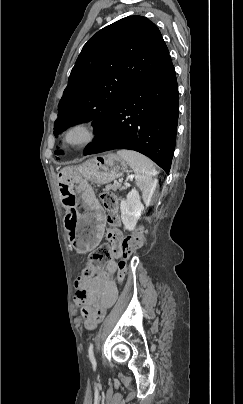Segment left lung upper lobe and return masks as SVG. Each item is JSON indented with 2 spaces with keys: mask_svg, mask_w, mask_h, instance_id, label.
Masks as SVG:
<instances>
[{
  "mask_svg": "<svg viewBox=\"0 0 243 404\" xmlns=\"http://www.w3.org/2000/svg\"><path fill=\"white\" fill-rule=\"evenodd\" d=\"M168 57L158 27L145 17L129 16L98 31L71 71L58 105L55 136L88 121L97 132L126 95Z\"/></svg>",
  "mask_w": 243,
  "mask_h": 404,
  "instance_id": "obj_1",
  "label": "left lung upper lobe"
}]
</instances>
